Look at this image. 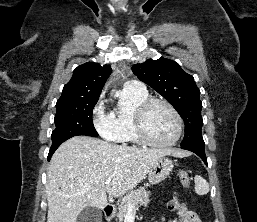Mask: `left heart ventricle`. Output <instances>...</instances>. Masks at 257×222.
<instances>
[{"instance_id":"left-heart-ventricle-1","label":"left heart ventricle","mask_w":257,"mask_h":222,"mask_svg":"<svg viewBox=\"0 0 257 222\" xmlns=\"http://www.w3.org/2000/svg\"><path fill=\"white\" fill-rule=\"evenodd\" d=\"M146 130L154 141H170L177 131L175 117L166 106L157 104L151 108L147 115Z\"/></svg>"}]
</instances>
